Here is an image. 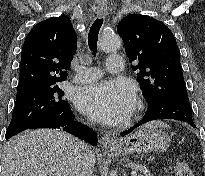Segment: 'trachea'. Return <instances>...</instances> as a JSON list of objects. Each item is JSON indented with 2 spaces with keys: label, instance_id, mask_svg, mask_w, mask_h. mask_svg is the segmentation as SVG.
<instances>
[{
  "label": "trachea",
  "instance_id": "3493384b",
  "mask_svg": "<svg viewBox=\"0 0 205 176\" xmlns=\"http://www.w3.org/2000/svg\"><path fill=\"white\" fill-rule=\"evenodd\" d=\"M102 24H103V19L98 18L94 21V23L90 27V31L88 34V45L93 53H95L97 48L98 35Z\"/></svg>",
  "mask_w": 205,
  "mask_h": 176
}]
</instances>
